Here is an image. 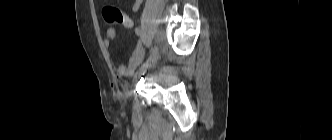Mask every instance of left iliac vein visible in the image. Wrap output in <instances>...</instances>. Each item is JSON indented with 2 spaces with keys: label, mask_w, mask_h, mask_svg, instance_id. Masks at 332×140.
<instances>
[{
  "label": "left iliac vein",
  "mask_w": 332,
  "mask_h": 140,
  "mask_svg": "<svg viewBox=\"0 0 332 140\" xmlns=\"http://www.w3.org/2000/svg\"><path fill=\"white\" fill-rule=\"evenodd\" d=\"M158 58H159V53L157 52V53L155 54V56L151 59V61H150L145 67H143V68H141V69L139 70V72L137 73V75H136V77H135V80H136L139 76H141L142 74H144L149 68L153 67V66L157 63Z\"/></svg>",
  "instance_id": "1"
}]
</instances>
